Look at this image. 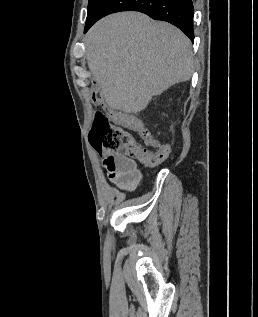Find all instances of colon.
<instances>
[{
	"mask_svg": "<svg viewBox=\"0 0 258 317\" xmlns=\"http://www.w3.org/2000/svg\"><path fill=\"white\" fill-rule=\"evenodd\" d=\"M93 102L106 101L99 94H93ZM120 113L94 114L93 124L89 132V141L98 151L108 155H120L139 160L146 166H157L164 161V154L142 147L134 136L113 125Z\"/></svg>",
	"mask_w": 258,
	"mask_h": 317,
	"instance_id": "obj_1",
	"label": "colon"
}]
</instances>
